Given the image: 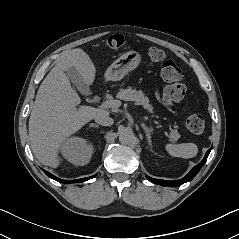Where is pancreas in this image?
I'll list each match as a JSON object with an SVG mask.
<instances>
[{
    "mask_svg": "<svg viewBox=\"0 0 239 239\" xmlns=\"http://www.w3.org/2000/svg\"><path fill=\"white\" fill-rule=\"evenodd\" d=\"M117 98L124 100V101H133L137 105H142L145 109H147L150 113H153V107L150 105L149 100L145 97L142 91H137L132 87H128L126 89H120L117 93ZM172 141L177 140L180 137V134L175 130L171 134Z\"/></svg>",
    "mask_w": 239,
    "mask_h": 239,
    "instance_id": "pancreas-1",
    "label": "pancreas"
}]
</instances>
